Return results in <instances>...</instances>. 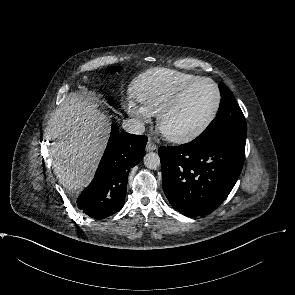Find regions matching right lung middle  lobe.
I'll return each mask as SVG.
<instances>
[{"label":"right lung middle lobe","instance_id":"obj_1","mask_svg":"<svg viewBox=\"0 0 295 295\" xmlns=\"http://www.w3.org/2000/svg\"><path fill=\"white\" fill-rule=\"evenodd\" d=\"M120 70V67H110V68H107V71H110V72H116ZM111 98H108V100H110Z\"/></svg>","mask_w":295,"mask_h":295}]
</instances>
